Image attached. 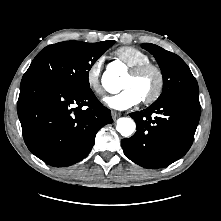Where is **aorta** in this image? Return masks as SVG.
Listing matches in <instances>:
<instances>
[{
    "instance_id": "obj_1",
    "label": "aorta",
    "mask_w": 221,
    "mask_h": 221,
    "mask_svg": "<svg viewBox=\"0 0 221 221\" xmlns=\"http://www.w3.org/2000/svg\"><path fill=\"white\" fill-rule=\"evenodd\" d=\"M121 71L110 66L104 73L102 78V84L111 93H116L120 91V79ZM136 125L133 119L128 117H123L118 119L116 129L124 137L130 136L135 131Z\"/></svg>"
}]
</instances>
